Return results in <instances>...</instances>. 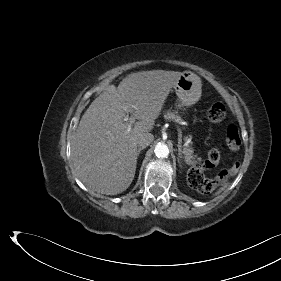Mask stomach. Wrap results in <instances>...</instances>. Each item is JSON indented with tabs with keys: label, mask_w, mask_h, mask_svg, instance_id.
Masks as SVG:
<instances>
[{
	"label": "stomach",
	"mask_w": 281,
	"mask_h": 281,
	"mask_svg": "<svg viewBox=\"0 0 281 281\" xmlns=\"http://www.w3.org/2000/svg\"><path fill=\"white\" fill-rule=\"evenodd\" d=\"M201 87V80L196 74L190 71L183 72L174 84L180 106L195 104L201 96Z\"/></svg>",
	"instance_id": "0dacf381"
}]
</instances>
